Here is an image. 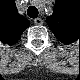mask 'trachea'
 <instances>
[{
  "label": "trachea",
  "instance_id": "3493384b",
  "mask_svg": "<svg viewBox=\"0 0 80 80\" xmlns=\"http://www.w3.org/2000/svg\"><path fill=\"white\" fill-rule=\"evenodd\" d=\"M38 13V9L35 6H30L27 10V14L30 18H36Z\"/></svg>",
  "mask_w": 80,
  "mask_h": 80
}]
</instances>
